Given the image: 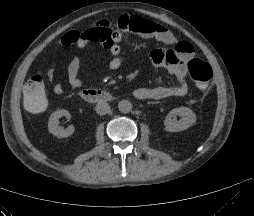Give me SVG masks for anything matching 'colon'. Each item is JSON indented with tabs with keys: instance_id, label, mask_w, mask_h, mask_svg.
Wrapping results in <instances>:
<instances>
[{
	"instance_id": "colon-1",
	"label": "colon",
	"mask_w": 254,
	"mask_h": 216,
	"mask_svg": "<svg viewBox=\"0 0 254 216\" xmlns=\"http://www.w3.org/2000/svg\"><path fill=\"white\" fill-rule=\"evenodd\" d=\"M82 36L88 42H96L104 46L111 43L110 32L103 28L88 29L82 32ZM187 72L195 85L200 89H206L213 76L211 66L199 58L189 59L187 62ZM23 103L25 108L32 113H41L47 108L48 97L44 92L40 72L31 76L26 83L23 89Z\"/></svg>"
}]
</instances>
